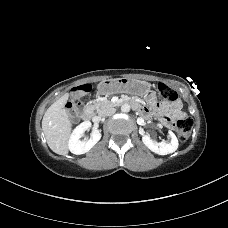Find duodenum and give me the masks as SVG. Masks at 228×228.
I'll return each instance as SVG.
<instances>
[{
    "instance_id": "obj_1",
    "label": "duodenum",
    "mask_w": 228,
    "mask_h": 228,
    "mask_svg": "<svg viewBox=\"0 0 228 228\" xmlns=\"http://www.w3.org/2000/svg\"><path fill=\"white\" fill-rule=\"evenodd\" d=\"M127 104H130L131 106L135 107V108H138L139 104L136 103L134 100L132 101H127L126 102ZM80 118L83 120V121H91L92 118H93V111L91 109H87V110H84L81 114H80Z\"/></svg>"
}]
</instances>
